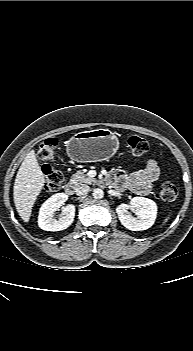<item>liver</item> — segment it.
<instances>
[{
	"mask_svg": "<svg viewBox=\"0 0 193 351\" xmlns=\"http://www.w3.org/2000/svg\"><path fill=\"white\" fill-rule=\"evenodd\" d=\"M44 183L45 177L37 161L35 151L31 150L19 167L13 187L16 210L26 223L30 220L32 207Z\"/></svg>",
	"mask_w": 193,
	"mask_h": 351,
	"instance_id": "1",
	"label": "liver"
}]
</instances>
